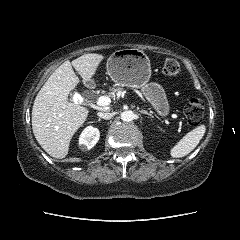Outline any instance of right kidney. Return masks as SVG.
<instances>
[{
  "label": "right kidney",
  "instance_id": "ca27d5eb",
  "mask_svg": "<svg viewBox=\"0 0 240 240\" xmlns=\"http://www.w3.org/2000/svg\"><path fill=\"white\" fill-rule=\"evenodd\" d=\"M99 137H100L99 130L92 126H88L83 130V132L80 135L79 145L82 146V148L84 147L89 150L96 145V143L99 140Z\"/></svg>",
  "mask_w": 240,
  "mask_h": 240
}]
</instances>
